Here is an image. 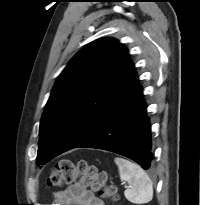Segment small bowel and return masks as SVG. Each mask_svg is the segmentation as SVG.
I'll return each mask as SVG.
<instances>
[{
	"instance_id": "small-bowel-1",
	"label": "small bowel",
	"mask_w": 200,
	"mask_h": 205,
	"mask_svg": "<svg viewBox=\"0 0 200 205\" xmlns=\"http://www.w3.org/2000/svg\"><path fill=\"white\" fill-rule=\"evenodd\" d=\"M51 205H104L103 201L85 186L75 183L54 194Z\"/></svg>"
}]
</instances>
